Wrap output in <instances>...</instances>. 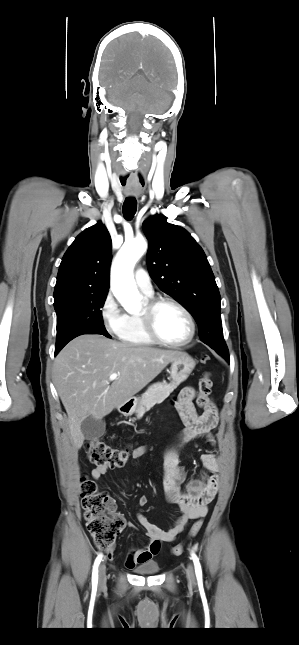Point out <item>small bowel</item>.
Returning a JSON list of instances; mask_svg holds the SVG:
<instances>
[{"instance_id": "1", "label": "small bowel", "mask_w": 299, "mask_h": 645, "mask_svg": "<svg viewBox=\"0 0 299 645\" xmlns=\"http://www.w3.org/2000/svg\"><path fill=\"white\" fill-rule=\"evenodd\" d=\"M195 389L185 387L175 398L174 406L184 423V429L177 441L162 453L164 462L163 487L168 503L176 505L181 514L175 521L172 528L163 530L151 523L142 513L136 514L137 521L146 530L148 544L141 549H132L124 564L127 568H134L136 565L148 562L155 557L163 542H173L184 530L191 520L204 517L208 511V505L215 497L219 487L218 470L220 462L215 452L210 451L200 456L203 467L201 474L192 480L185 488L180 485L185 480L187 472L179 458V449L186 443L204 438L212 447L217 445V437L212 430L218 423L216 405L210 399L203 405L202 414H196L194 399ZM147 447H138L133 450L132 458L138 459L147 453ZM107 465H97L91 472L94 480H99L109 471ZM140 506L148 504V497L142 495L138 499ZM132 526V524H129ZM108 557L112 558V550Z\"/></svg>"}]
</instances>
